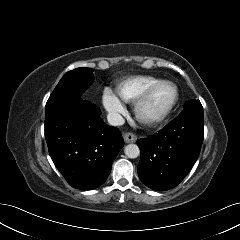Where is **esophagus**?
I'll use <instances>...</instances> for the list:
<instances>
[{
  "instance_id": "1",
  "label": "esophagus",
  "mask_w": 240,
  "mask_h": 240,
  "mask_svg": "<svg viewBox=\"0 0 240 240\" xmlns=\"http://www.w3.org/2000/svg\"><path fill=\"white\" fill-rule=\"evenodd\" d=\"M123 137L126 143H133L137 140V136L131 132L125 133Z\"/></svg>"
}]
</instances>
